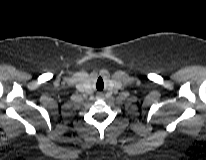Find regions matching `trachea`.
Listing matches in <instances>:
<instances>
[{
    "instance_id": "1",
    "label": "trachea",
    "mask_w": 206,
    "mask_h": 160,
    "mask_svg": "<svg viewBox=\"0 0 206 160\" xmlns=\"http://www.w3.org/2000/svg\"><path fill=\"white\" fill-rule=\"evenodd\" d=\"M98 81H100L102 83V87H103V80L101 77L98 79Z\"/></svg>"
}]
</instances>
